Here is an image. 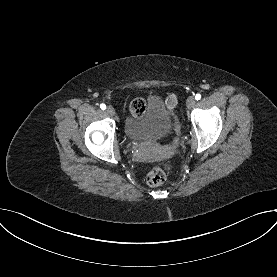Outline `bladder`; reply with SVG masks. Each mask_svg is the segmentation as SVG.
<instances>
[{
    "label": "bladder",
    "mask_w": 277,
    "mask_h": 277,
    "mask_svg": "<svg viewBox=\"0 0 277 277\" xmlns=\"http://www.w3.org/2000/svg\"><path fill=\"white\" fill-rule=\"evenodd\" d=\"M172 125V115L162 99L150 96L141 114L126 118L124 132L132 141H153L165 136Z\"/></svg>",
    "instance_id": "31cf9c89"
}]
</instances>
